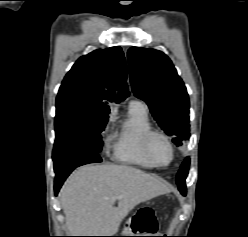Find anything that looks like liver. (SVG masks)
Instances as JSON below:
<instances>
[{"label":"liver","mask_w":248,"mask_h":237,"mask_svg":"<svg viewBox=\"0 0 248 237\" xmlns=\"http://www.w3.org/2000/svg\"><path fill=\"white\" fill-rule=\"evenodd\" d=\"M169 192L158 178L126 165H87L60 191L69 236H113L139 203ZM118 197V206L111 201Z\"/></svg>","instance_id":"liver-1"}]
</instances>
